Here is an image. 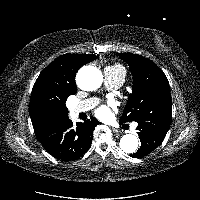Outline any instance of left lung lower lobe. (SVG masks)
I'll use <instances>...</instances> for the list:
<instances>
[{"mask_svg":"<svg viewBox=\"0 0 200 200\" xmlns=\"http://www.w3.org/2000/svg\"><path fill=\"white\" fill-rule=\"evenodd\" d=\"M137 130L141 140V147L137 152L130 155L134 158H142L151 153L163 142L168 131V129L151 123H139Z\"/></svg>","mask_w":200,"mask_h":200,"instance_id":"left-lung-lower-lobe-1","label":"left lung lower lobe"}]
</instances>
